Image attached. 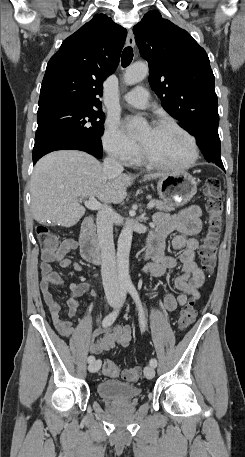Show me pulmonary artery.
Returning a JSON list of instances; mask_svg holds the SVG:
<instances>
[{"label": "pulmonary artery", "instance_id": "e3ab8cb5", "mask_svg": "<svg viewBox=\"0 0 245 457\" xmlns=\"http://www.w3.org/2000/svg\"><path fill=\"white\" fill-rule=\"evenodd\" d=\"M122 100L130 105L144 108L150 100L148 86H135L134 91L122 96Z\"/></svg>", "mask_w": 245, "mask_h": 457}]
</instances>
